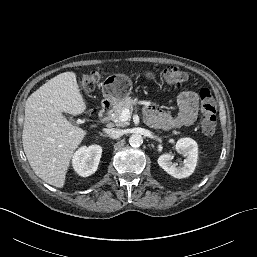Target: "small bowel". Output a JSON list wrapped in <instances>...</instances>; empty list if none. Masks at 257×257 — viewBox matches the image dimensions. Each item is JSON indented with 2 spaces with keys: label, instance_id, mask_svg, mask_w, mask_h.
Listing matches in <instances>:
<instances>
[{
  "label": "small bowel",
  "instance_id": "obj_1",
  "mask_svg": "<svg viewBox=\"0 0 257 257\" xmlns=\"http://www.w3.org/2000/svg\"><path fill=\"white\" fill-rule=\"evenodd\" d=\"M177 103L179 111L175 115L159 111L153 106L148 107L150 122L156 127L163 129L193 125L198 114L197 94L188 88H183L177 97Z\"/></svg>",
  "mask_w": 257,
  "mask_h": 257
}]
</instances>
